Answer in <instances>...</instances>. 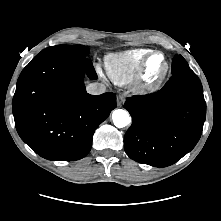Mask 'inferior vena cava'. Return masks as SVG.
Returning a JSON list of instances; mask_svg holds the SVG:
<instances>
[{"label": "inferior vena cava", "instance_id": "obj_1", "mask_svg": "<svg viewBox=\"0 0 221 221\" xmlns=\"http://www.w3.org/2000/svg\"><path fill=\"white\" fill-rule=\"evenodd\" d=\"M86 91L91 95H100L105 93L106 86L103 83H90L87 85Z\"/></svg>", "mask_w": 221, "mask_h": 221}]
</instances>
